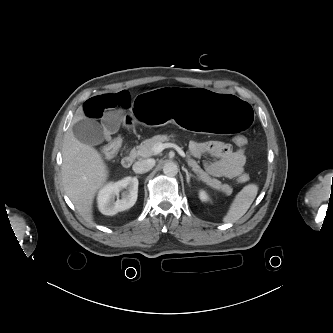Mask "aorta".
Listing matches in <instances>:
<instances>
[{"instance_id":"aorta-1","label":"aorta","mask_w":333,"mask_h":333,"mask_svg":"<svg viewBox=\"0 0 333 333\" xmlns=\"http://www.w3.org/2000/svg\"><path fill=\"white\" fill-rule=\"evenodd\" d=\"M163 173L166 176H170V177L175 176L178 173V167L175 163L168 162L163 167Z\"/></svg>"}]
</instances>
